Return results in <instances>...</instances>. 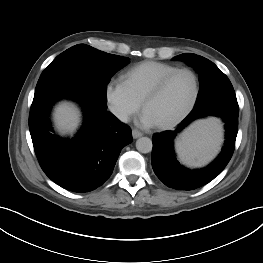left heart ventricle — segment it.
Returning <instances> with one entry per match:
<instances>
[{"label":"left heart ventricle","instance_id":"obj_1","mask_svg":"<svg viewBox=\"0 0 263 263\" xmlns=\"http://www.w3.org/2000/svg\"><path fill=\"white\" fill-rule=\"evenodd\" d=\"M194 93V80L188 73L176 75L162 93L145 108L156 124L167 123L178 115L190 103Z\"/></svg>","mask_w":263,"mask_h":263}]
</instances>
